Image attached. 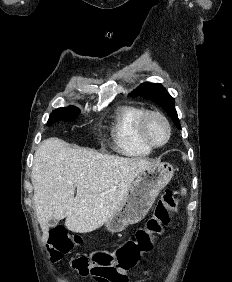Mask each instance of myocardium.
<instances>
[{
    "label": "myocardium",
    "mask_w": 232,
    "mask_h": 282,
    "mask_svg": "<svg viewBox=\"0 0 232 282\" xmlns=\"http://www.w3.org/2000/svg\"><path fill=\"white\" fill-rule=\"evenodd\" d=\"M151 118H157V119L161 120L166 127L167 136H166L165 140L161 143L153 142L147 135V131H146L147 123ZM136 129H137V135H138L139 140L144 145L151 148L152 150L165 146L169 142L171 135H172V128H171V124H170L169 120L167 119V117L164 114H162L161 112L156 111V110H146V111H144L138 119Z\"/></svg>",
    "instance_id": "f54148a6"
}]
</instances>
